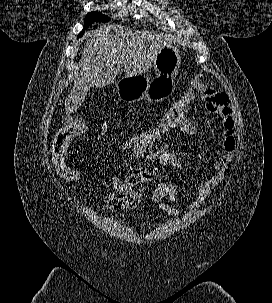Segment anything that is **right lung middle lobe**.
Instances as JSON below:
<instances>
[{
  "label": "right lung middle lobe",
  "mask_w": 272,
  "mask_h": 303,
  "mask_svg": "<svg viewBox=\"0 0 272 303\" xmlns=\"http://www.w3.org/2000/svg\"><path fill=\"white\" fill-rule=\"evenodd\" d=\"M110 18L107 17L106 15H103L99 12H90L86 15L85 20H84V30L80 32L78 37H81L89 26H91L94 22H104V21H109Z\"/></svg>",
  "instance_id": "1"
}]
</instances>
